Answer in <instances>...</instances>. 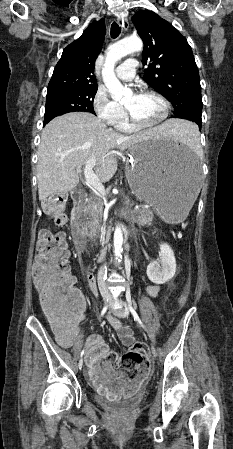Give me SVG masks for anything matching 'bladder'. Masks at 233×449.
<instances>
[{
    "label": "bladder",
    "mask_w": 233,
    "mask_h": 449,
    "mask_svg": "<svg viewBox=\"0 0 233 449\" xmlns=\"http://www.w3.org/2000/svg\"><path fill=\"white\" fill-rule=\"evenodd\" d=\"M143 399H144V396L142 394H138L131 398H125V399H120V400H107L100 396H97V402L101 406H103L107 409H110V410H115V411L130 410V409L136 407L137 405H139Z\"/></svg>",
    "instance_id": "1"
}]
</instances>
